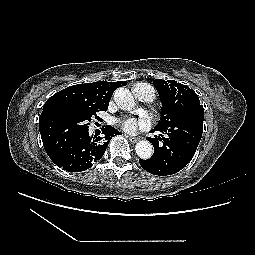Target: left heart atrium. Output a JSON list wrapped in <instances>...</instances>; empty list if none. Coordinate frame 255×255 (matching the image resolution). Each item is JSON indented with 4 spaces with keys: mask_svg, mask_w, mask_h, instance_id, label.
<instances>
[{
    "mask_svg": "<svg viewBox=\"0 0 255 255\" xmlns=\"http://www.w3.org/2000/svg\"><path fill=\"white\" fill-rule=\"evenodd\" d=\"M116 123L119 124L125 131L135 133L138 130H143L147 127V122L144 120L137 121L134 118L117 119Z\"/></svg>",
    "mask_w": 255,
    "mask_h": 255,
    "instance_id": "left-heart-atrium-1",
    "label": "left heart atrium"
}]
</instances>
